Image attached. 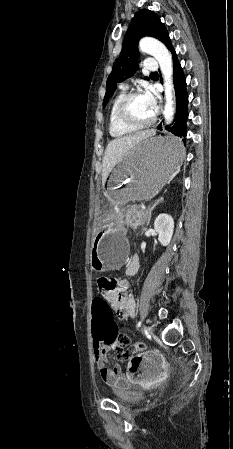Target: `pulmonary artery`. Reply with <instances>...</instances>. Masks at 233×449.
I'll return each instance as SVG.
<instances>
[{
    "label": "pulmonary artery",
    "instance_id": "1",
    "mask_svg": "<svg viewBox=\"0 0 233 449\" xmlns=\"http://www.w3.org/2000/svg\"><path fill=\"white\" fill-rule=\"evenodd\" d=\"M144 66H145V69L148 71H154L158 67L157 63L154 59H147Z\"/></svg>",
    "mask_w": 233,
    "mask_h": 449
}]
</instances>
